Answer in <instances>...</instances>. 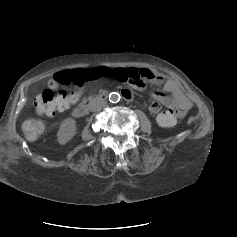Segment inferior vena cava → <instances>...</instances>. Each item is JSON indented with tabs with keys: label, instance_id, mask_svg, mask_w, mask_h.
I'll return each mask as SVG.
<instances>
[{
	"label": "inferior vena cava",
	"instance_id": "602c4592",
	"mask_svg": "<svg viewBox=\"0 0 237 237\" xmlns=\"http://www.w3.org/2000/svg\"><path fill=\"white\" fill-rule=\"evenodd\" d=\"M106 104L107 102L105 100H103L101 97H97L90 102L89 107L91 111H98L106 106Z\"/></svg>",
	"mask_w": 237,
	"mask_h": 237
}]
</instances>
